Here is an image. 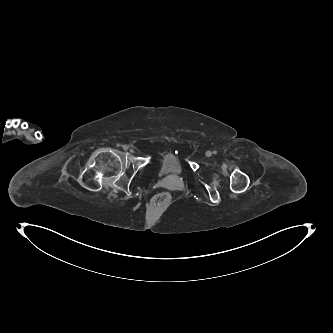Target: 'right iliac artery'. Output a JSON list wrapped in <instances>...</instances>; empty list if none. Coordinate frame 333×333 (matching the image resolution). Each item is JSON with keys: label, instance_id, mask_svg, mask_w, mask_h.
<instances>
[{"label": "right iliac artery", "instance_id": "obj_1", "mask_svg": "<svg viewBox=\"0 0 333 333\" xmlns=\"http://www.w3.org/2000/svg\"><path fill=\"white\" fill-rule=\"evenodd\" d=\"M124 150H127L128 149V146L127 145H123L122 146Z\"/></svg>", "mask_w": 333, "mask_h": 333}]
</instances>
